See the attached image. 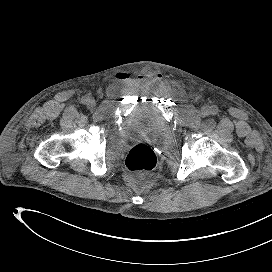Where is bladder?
<instances>
[{
    "label": "bladder",
    "mask_w": 272,
    "mask_h": 272,
    "mask_svg": "<svg viewBox=\"0 0 272 272\" xmlns=\"http://www.w3.org/2000/svg\"><path fill=\"white\" fill-rule=\"evenodd\" d=\"M128 130L132 135H140L160 141L167 133V122L155 106L141 104L136 113L131 116Z\"/></svg>",
    "instance_id": "31cf9c89"
}]
</instances>
